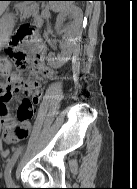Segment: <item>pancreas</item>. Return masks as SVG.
Listing matches in <instances>:
<instances>
[{"label":"pancreas","mask_w":137,"mask_h":189,"mask_svg":"<svg viewBox=\"0 0 137 189\" xmlns=\"http://www.w3.org/2000/svg\"><path fill=\"white\" fill-rule=\"evenodd\" d=\"M28 13H29V9H25V10L23 11V15H21V19L27 17ZM47 16H48V12L45 11V12L42 13L41 16H37V15H36V16H35V20L42 22V19H41V18H42V17L45 18V17H47Z\"/></svg>","instance_id":"obj_1"}]
</instances>
